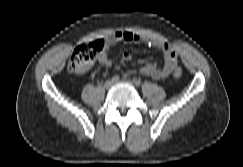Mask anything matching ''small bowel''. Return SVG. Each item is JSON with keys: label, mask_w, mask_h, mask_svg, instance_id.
I'll return each mask as SVG.
<instances>
[{"label": "small bowel", "mask_w": 243, "mask_h": 167, "mask_svg": "<svg viewBox=\"0 0 243 167\" xmlns=\"http://www.w3.org/2000/svg\"><path fill=\"white\" fill-rule=\"evenodd\" d=\"M118 42H124L127 44L145 42L162 51L164 55L163 66L159 67L156 63L146 64L140 69V72L145 76H150L155 79H164L177 67V52L170 44L161 40L149 39L130 31H118L112 37L105 40V47L98 55V62L102 67L109 68L112 65L109 50ZM121 57L125 61H130L133 55L130 51L124 50L121 53Z\"/></svg>", "instance_id": "c3829d8e"}]
</instances>
